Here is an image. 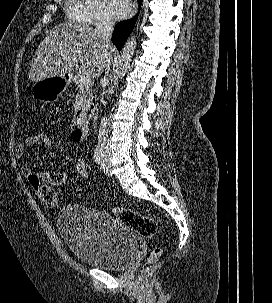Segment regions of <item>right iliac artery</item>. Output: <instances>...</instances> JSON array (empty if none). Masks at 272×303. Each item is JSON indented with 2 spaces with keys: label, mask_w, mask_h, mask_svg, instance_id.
Returning <instances> with one entry per match:
<instances>
[{
  "label": "right iliac artery",
  "mask_w": 272,
  "mask_h": 303,
  "mask_svg": "<svg viewBox=\"0 0 272 303\" xmlns=\"http://www.w3.org/2000/svg\"><path fill=\"white\" fill-rule=\"evenodd\" d=\"M94 162L98 165H100L102 163L101 161V148L99 146H97L94 150Z\"/></svg>",
  "instance_id": "right-iliac-artery-1"
}]
</instances>
